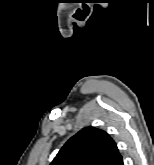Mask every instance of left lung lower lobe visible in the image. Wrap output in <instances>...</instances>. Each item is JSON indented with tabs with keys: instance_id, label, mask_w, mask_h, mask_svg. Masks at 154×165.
<instances>
[{
	"instance_id": "left-lung-lower-lobe-1",
	"label": "left lung lower lobe",
	"mask_w": 154,
	"mask_h": 165,
	"mask_svg": "<svg viewBox=\"0 0 154 165\" xmlns=\"http://www.w3.org/2000/svg\"><path fill=\"white\" fill-rule=\"evenodd\" d=\"M118 165H123V161L121 160L120 163Z\"/></svg>"
}]
</instances>
